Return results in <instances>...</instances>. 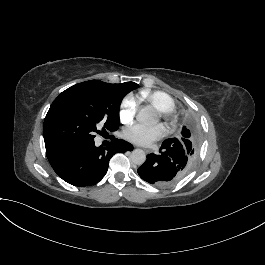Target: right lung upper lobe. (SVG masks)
<instances>
[{
    "instance_id": "obj_1",
    "label": "right lung upper lobe",
    "mask_w": 265,
    "mask_h": 265,
    "mask_svg": "<svg viewBox=\"0 0 265 265\" xmlns=\"http://www.w3.org/2000/svg\"><path fill=\"white\" fill-rule=\"evenodd\" d=\"M125 85H128V86H130L132 88H137L138 87V85L136 83H134V82H125ZM46 150H48V149H46Z\"/></svg>"
}]
</instances>
